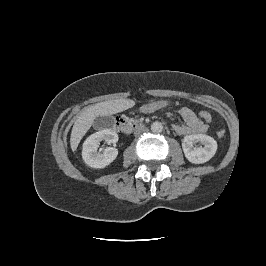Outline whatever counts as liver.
Instances as JSON below:
<instances>
[{"mask_svg": "<svg viewBox=\"0 0 266 266\" xmlns=\"http://www.w3.org/2000/svg\"><path fill=\"white\" fill-rule=\"evenodd\" d=\"M135 105V101L130 99H116L97 103L85 108L77 117L71 132L70 146L72 151H76L81 139L90 129L94 120L99 116H110L120 113Z\"/></svg>", "mask_w": 266, "mask_h": 266, "instance_id": "6515ba94", "label": "liver"}]
</instances>
